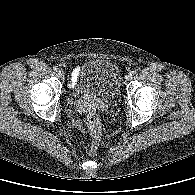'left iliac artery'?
<instances>
[{
	"label": "left iliac artery",
	"mask_w": 195,
	"mask_h": 195,
	"mask_svg": "<svg viewBox=\"0 0 195 195\" xmlns=\"http://www.w3.org/2000/svg\"><path fill=\"white\" fill-rule=\"evenodd\" d=\"M136 73H137L136 70L131 72L132 75H135Z\"/></svg>",
	"instance_id": "1"
}]
</instances>
